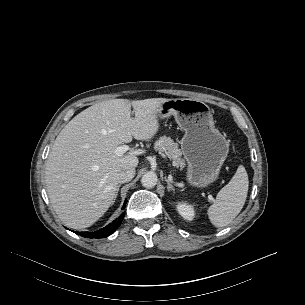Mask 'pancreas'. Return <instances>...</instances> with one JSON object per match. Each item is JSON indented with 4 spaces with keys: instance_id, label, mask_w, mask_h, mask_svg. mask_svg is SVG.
Returning <instances> with one entry per match:
<instances>
[{
    "instance_id": "pancreas-1",
    "label": "pancreas",
    "mask_w": 305,
    "mask_h": 305,
    "mask_svg": "<svg viewBox=\"0 0 305 305\" xmlns=\"http://www.w3.org/2000/svg\"><path fill=\"white\" fill-rule=\"evenodd\" d=\"M154 148L160 152H165L166 155L172 160L173 165L183 169L185 162L181 157V150L178 143H175L173 139L167 136L160 137L154 145Z\"/></svg>"
}]
</instances>
